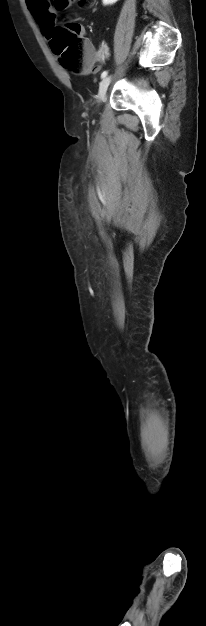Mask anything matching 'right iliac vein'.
<instances>
[{
  "instance_id": "right-iliac-vein-1",
  "label": "right iliac vein",
  "mask_w": 206,
  "mask_h": 626,
  "mask_svg": "<svg viewBox=\"0 0 206 626\" xmlns=\"http://www.w3.org/2000/svg\"><path fill=\"white\" fill-rule=\"evenodd\" d=\"M111 80H112V77L108 76V77H105L101 81L100 86H99V93H98V100H99V102H103L105 100L106 92H107V89H108V86H109Z\"/></svg>"
}]
</instances>
